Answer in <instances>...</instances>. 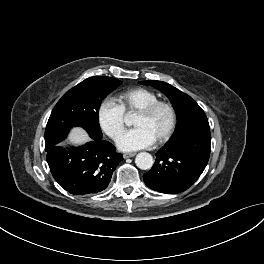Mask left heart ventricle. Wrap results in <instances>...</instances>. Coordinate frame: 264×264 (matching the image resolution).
Masks as SVG:
<instances>
[{
  "label": "left heart ventricle",
  "instance_id": "b2bd125f",
  "mask_svg": "<svg viewBox=\"0 0 264 264\" xmlns=\"http://www.w3.org/2000/svg\"><path fill=\"white\" fill-rule=\"evenodd\" d=\"M169 114L166 109L160 108L150 117L136 115L134 118L135 127L147 129L155 139H158L167 129Z\"/></svg>",
  "mask_w": 264,
  "mask_h": 264
}]
</instances>
